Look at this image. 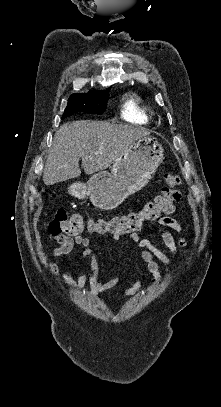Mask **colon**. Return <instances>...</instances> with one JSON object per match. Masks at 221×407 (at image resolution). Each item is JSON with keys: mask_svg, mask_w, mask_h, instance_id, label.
Here are the masks:
<instances>
[{"mask_svg": "<svg viewBox=\"0 0 221 407\" xmlns=\"http://www.w3.org/2000/svg\"><path fill=\"white\" fill-rule=\"evenodd\" d=\"M180 183L177 175L168 174L162 193L140 211L129 212L110 219H89L85 222L80 214L69 216L65 211H58L48 225V233L53 237L61 235L75 237L81 235L85 230L98 234L110 233L113 236L137 233L146 223L164 218L172 213L181 198Z\"/></svg>", "mask_w": 221, "mask_h": 407, "instance_id": "1", "label": "colon"}]
</instances>
